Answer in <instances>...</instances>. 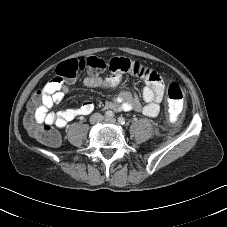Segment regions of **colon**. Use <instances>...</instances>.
Returning a JSON list of instances; mask_svg holds the SVG:
<instances>
[{"mask_svg": "<svg viewBox=\"0 0 227 227\" xmlns=\"http://www.w3.org/2000/svg\"><path fill=\"white\" fill-rule=\"evenodd\" d=\"M106 68V61L95 55H89L84 58H73L61 63L57 67V76L53 77L42 91L35 92L29 101V112L26 117V123L30 134L46 146H59L61 138L58 132L55 131L50 125H38L32 117V109L43 101L46 93H52L59 89L63 80H75L85 70H89L93 74H97ZM132 70L141 76H148L151 74V70L148 66L137 61L133 62ZM184 98V90L180 83L175 80H171L167 86L166 103L172 114L182 112L184 108Z\"/></svg>", "mask_w": 227, "mask_h": 227, "instance_id": "5ec220e1", "label": "colon"}]
</instances>
